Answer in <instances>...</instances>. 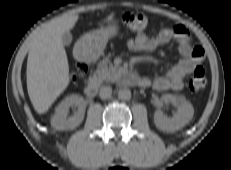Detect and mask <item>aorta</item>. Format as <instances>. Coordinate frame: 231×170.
<instances>
[{"label":"aorta","instance_id":"obj_1","mask_svg":"<svg viewBox=\"0 0 231 170\" xmlns=\"http://www.w3.org/2000/svg\"><path fill=\"white\" fill-rule=\"evenodd\" d=\"M118 98L121 100H130L131 98V91L128 88L120 89L118 92Z\"/></svg>","mask_w":231,"mask_h":170}]
</instances>
